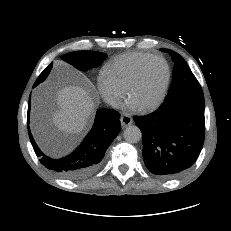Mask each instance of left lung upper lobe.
Masks as SVG:
<instances>
[{"mask_svg":"<svg viewBox=\"0 0 231 231\" xmlns=\"http://www.w3.org/2000/svg\"><path fill=\"white\" fill-rule=\"evenodd\" d=\"M160 50L162 52L169 53L175 62L172 83L165 101L188 91L202 89L189 66L178 53L169 49Z\"/></svg>","mask_w":231,"mask_h":231,"instance_id":"5c2ea615","label":"left lung upper lobe"}]
</instances>
